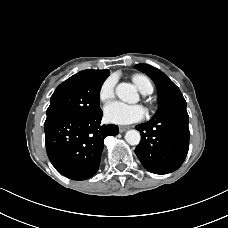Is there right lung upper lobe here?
I'll return each mask as SVG.
<instances>
[{
    "label": "right lung upper lobe",
    "instance_id": "1",
    "mask_svg": "<svg viewBox=\"0 0 228 228\" xmlns=\"http://www.w3.org/2000/svg\"><path fill=\"white\" fill-rule=\"evenodd\" d=\"M90 70H91V69H90ZM83 71L85 72V71H89V70H83Z\"/></svg>",
    "mask_w": 228,
    "mask_h": 228
}]
</instances>
